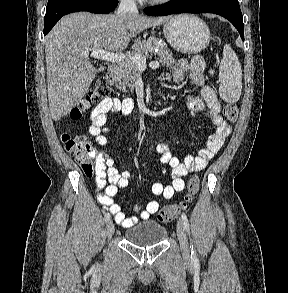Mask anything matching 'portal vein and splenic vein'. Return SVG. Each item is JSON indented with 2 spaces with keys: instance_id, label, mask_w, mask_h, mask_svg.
<instances>
[{
  "instance_id": "portal-vein-and-splenic-vein-1",
  "label": "portal vein and splenic vein",
  "mask_w": 288,
  "mask_h": 293,
  "mask_svg": "<svg viewBox=\"0 0 288 293\" xmlns=\"http://www.w3.org/2000/svg\"><path fill=\"white\" fill-rule=\"evenodd\" d=\"M82 56L88 58L89 56L95 59H101L107 62H121L127 60L128 58L131 59L139 69L146 68V58L141 56L140 54H132V55H125L123 53H111L106 50H98L93 51L91 53L84 52ZM152 68H157L159 66L158 61H152L149 64Z\"/></svg>"
}]
</instances>
